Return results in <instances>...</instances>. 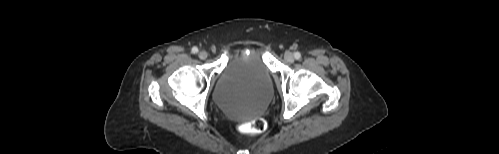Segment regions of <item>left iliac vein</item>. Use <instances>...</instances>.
Segmentation results:
<instances>
[{"label":"left iliac vein","mask_w":499,"mask_h":154,"mask_svg":"<svg viewBox=\"0 0 499 154\" xmlns=\"http://www.w3.org/2000/svg\"><path fill=\"white\" fill-rule=\"evenodd\" d=\"M285 59L288 61V62H293L294 61V55L292 52L290 51H287L284 55Z\"/></svg>","instance_id":"obj_1"}]
</instances>
